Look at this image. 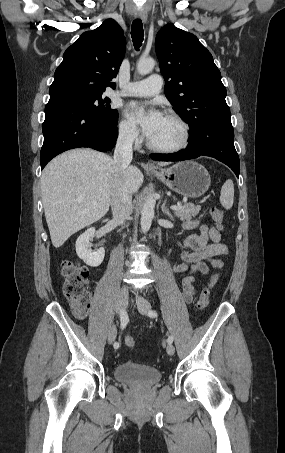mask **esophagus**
<instances>
[{
  "label": "esophagus",
  "mask_w": 285,
  "mask_h": 453,
  "mask_svg": "<svg viewBox=\"0 0 285 453\" xmlns=\"http://www.w3.org/2000/svg\"><path fill=\"white\" fill-rule=\"evenodd\" d=\"M135 16L137 18H140L143 21V23H146V21H147V12H146L145 9L136 10ZM148 167L149 168H155V166L153 164H151V163H148Z\"/></svg>",
  "instance_id": "1"
}]
</instances>
